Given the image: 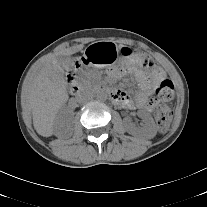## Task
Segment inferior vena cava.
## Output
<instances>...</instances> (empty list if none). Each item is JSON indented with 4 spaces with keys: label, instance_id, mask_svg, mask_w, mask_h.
I'll return each instance as SVG.
<instances>
[{
    "label": "inferior vena cava",
    "instance_id": "602c4592",
    "mask_svg": "<svg viewBox=\"0 0 207 207\" xmlns=\"http://www.w3.org/2000/svg\"><path fill=\"white\" fill-rule=\"evenodd\" d=\"M93 97L92 93L90 91H81L79 92L75 99L78 103H86L88 102L89 100H91Z\"/></svg>",
    "mask_w": 207,
    "mask_h": 207
}]
</instances>
